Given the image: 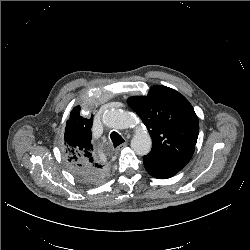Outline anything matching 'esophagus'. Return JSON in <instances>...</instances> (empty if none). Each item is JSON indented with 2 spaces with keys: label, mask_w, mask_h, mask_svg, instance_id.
<instances>
[{
  "label": "esophagus",
  "mask_w": 250,
  "mask_h": 250,
  "mask_svg": "<svg viewBox=\"0 0 250 250\" xmlns=\"http://www.w3.org/2000/svg\"><path fill=\"white\" fill-rule=\"evenodd\" d=\"M127 146V143H123L120 146L117 147L116 151L119 152L121 151L123 148H125Z\"/></svg>",
  "instance_id": "obj_1"
}]
</instances>
